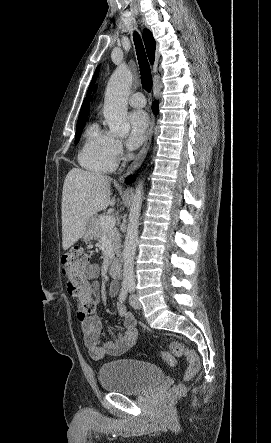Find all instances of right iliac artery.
<instances>
[{
	"instance_id": "1",
	"label": "right iliac artery",
	"mask_w": 271,
	"mask_h": 443,
	"mask_svg": "<svg viewBox=\"0 0 271 443\" xmlns=\"http://www.w3.org/2000/svg\"><path fill=\"white\" fill-rule=\"evenodd\" d=\"M128 294V287L127 286H123L119 295V301L122 303L125 301L126 297Z\"/></svg>"
}]
</instances>
